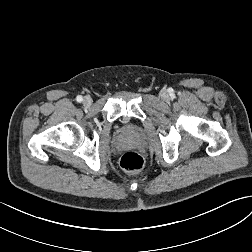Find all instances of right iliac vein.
Here are the masks:
<instances>
[{
    "label": "right iliac vein",
    "instance_id": "right-iliac-vein-1",
    "mask_svg": "<svg viewBox=\"0 0 252 252\" xmlns=\"http://www.w3.org/2000/svg\"><path fill=\"white\" fill-rule=\"evenodd\" d=\"M92 104V99L89 96L84 97L83 99V105L86 107H89Z\"/></svg>",
    "mask_w": 252,
    "mask_h": 252
}]
</instances>
